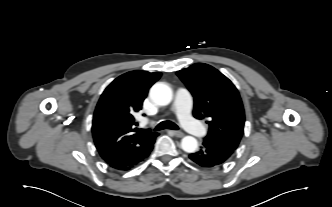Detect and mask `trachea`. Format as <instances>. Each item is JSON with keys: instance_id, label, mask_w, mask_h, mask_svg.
<instances>
[{"instance_id": "obj_1", "label": "trachea", "mask_w": 332, "mask_h": 207, "mask_svg": "<svg viewBox=\"0 0 332 207\" xmlns=\"http://www.w3.org/2000/svg\"><path fill=\"white\" fill-rule=\"evenodd\" d=\"M163 129L178 130L179 127L171 121H162L155 127L156 131L163 130Z\"/></svg>"}]
</instances>
